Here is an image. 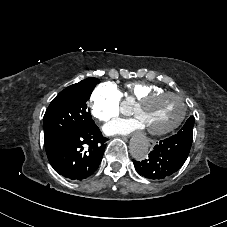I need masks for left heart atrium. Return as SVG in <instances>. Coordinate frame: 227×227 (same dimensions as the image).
<instances>
[{
  "label": "left heart atrium",
  "mask_w": 227,
  "mask_h": 227,
  "mask_svg": "<svg viewBox=\"0 0 227 227\" xmlns=\"http://www.w3.org/2000/svg\"><path fill=\"white\" fill-rule=\"evenodd\" d=\"M140 129H142V126L137 120L121 119L109 122L103 130L109 135H129L132 132Z\"/></svg>",
  "instance_id": "left-heart-atrium-1"
}]
</instances>
